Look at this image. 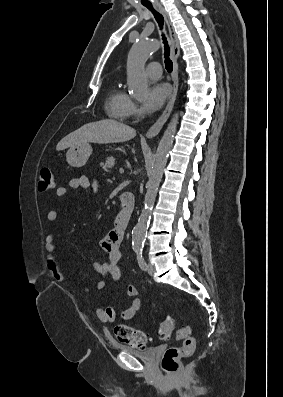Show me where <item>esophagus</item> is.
<instances>
[{
  "instance_id": "esophagus-1",
  "label": "esophagus",
  "mask_w": 283,
  "mask_h": 397,
  "mask_svg": "<svg viewBox=\"0 0 283 397\" xmlns=\"http://www.w3.org/2000/svg\"><path fill=\"white\" fill-rule=\"evenodd\" d=\"M156 8L164 17L165 22L168 27L170 44H171V59L173 61V73H172L173 92H172V95H171L163 113L158 118V120L147 131V133H146L147 138L155 137L160 132L163 125L169 118V116L173 110L175 101H176L178 87H179V77H178V57L180 54L179 40L175 33L174 27L170 21L168 13L160 5H156Z\"/></svg>"
}]
</instances>
